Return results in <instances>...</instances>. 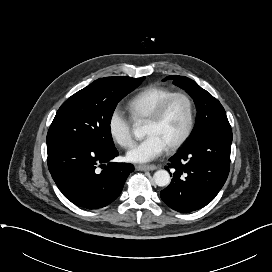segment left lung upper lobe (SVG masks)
Masks as SVG:
<instances>
[{"label": "left lung upper lobe", "mask_w": 272, "mask_h": 272, "mask_svg": "<svg viewBox=\"0 0 272 272\" xmlns=\"http://www.w3.org/2000/svg\"><path fill=\"white\" fill-rule=\"evenodd\" d=\"M167 79L174 80L175 85L185 89L193 98L197 107L196 124L183 148L203 137L217 133L231 132V126L223 106L209 92L187 77L172 75L166 77L164 80Z\"/></svg>", "instance_id": "obj_1"}]
</instances>
